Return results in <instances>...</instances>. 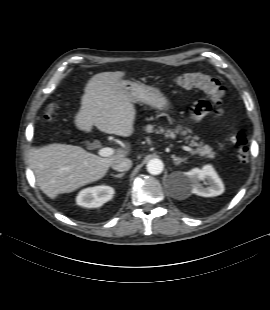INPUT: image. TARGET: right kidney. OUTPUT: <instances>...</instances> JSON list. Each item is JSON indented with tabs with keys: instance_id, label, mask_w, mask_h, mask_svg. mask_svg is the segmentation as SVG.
<instances>
[{
	"instance_id": "obj_1",
	"label": "right kidney",
	"mask_w": 270,
	"mask_h": 310,
	"mask_svg": "<svg viewBox=\"0 0 270 310\" xmlns=\"http://www.w3.org/2000/svg\"><path fill=\"white\" fill-rule=\"evenodd\" d=\"M113 195L114 189L110 186L89 187L79 192L76 202L82 207L97 208L109 201Z\"/></svg>"
}]
</instances>
